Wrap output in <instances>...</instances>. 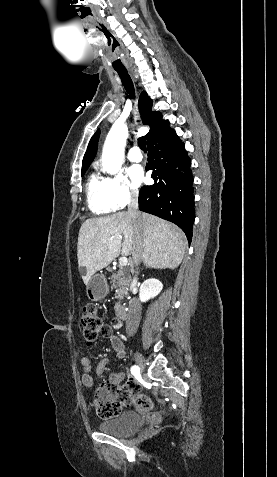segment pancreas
I'll return each mask as SVG.
<instances>
[{
  "mask_svg": "<svg viewBox=\"0 0 277 477\" xmlns=\"http://www.w3.org/2000/svg\"><path fill=\"white\" fill-rule=\"evenodd\" d=\"M109 272L112 270L110 268L107 269ZM112 279V288H116V295L115 297L122 301L128 294V287L130 284V277L126 276L123 269L119 268L117 273H113L111 276ZM120 306V302L117 303L116 308Z\"/></svg>",
  "mask_w": 277,
  "mask_h": 477,
  "instance_id": "pancreas-1",
  "label": "pancreas"
}]
</instances>
